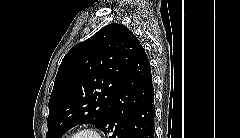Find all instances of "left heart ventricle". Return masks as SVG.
Returning <instances> with one entry per match:
<instances>
[{
  "instance_id": "1",
  "label": "left heart ventricle",
  "mask_w": 240,
  "mask_h": 138,
  "mask_svg": "<svg viewBox=\"0 0 240 138\" xmlns=\"http://www.w3.org/2000/svg\"><path fill=\"white\" fill-rule=\"evenodd\" d=\"M82 138H91V136L89 134H84L81 136Z\"/></svg>"
}]
</instances>
